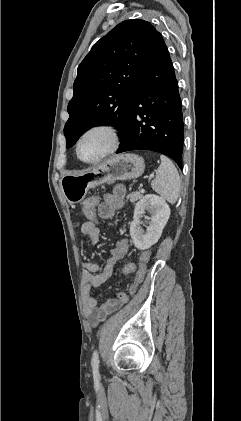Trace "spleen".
Returning <instances> with one entry per match:
<instances>
[{
  "label": "spleen",
  "instance_id": "3e777b00",
  "mask_svg": "<svg viewBox=\"0 0 241 421\" xmlns=\"http://www.w3.org/2000/svg\"><path fill=\"white\" fill-rule=\"evenodd\" d=\"M161 164L156 170V178L151 182L152 189L163 199L174 204L180 192V177L175 165L166 156L161 155Z\"/></svg>",
  "mask_w": 241,
  "mask_h": 421
}]
</instances>
